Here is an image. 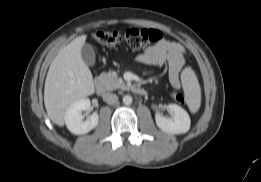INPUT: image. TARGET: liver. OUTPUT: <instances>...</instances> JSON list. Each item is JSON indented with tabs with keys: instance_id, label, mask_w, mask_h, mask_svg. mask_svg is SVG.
Instances as JSON below:
<instances>
[{
	"instance_id": "obj_1",
	"label": "liver",
	"mask_w": 261,
	"mask_h": 182,
	"mask_svg": "<svg viewBox=\"0 0 261 182\" xmlns=\"http://www.w3.org/2000/svg\"><path fill=\"white\" fill-rule=\"evenodd\" d=\"M87 35L62 48L50 64L44 86V104L53 123L63 126L67 108L95 92L90 69L81 56Z\"/></svg>"
}]
</instances>
